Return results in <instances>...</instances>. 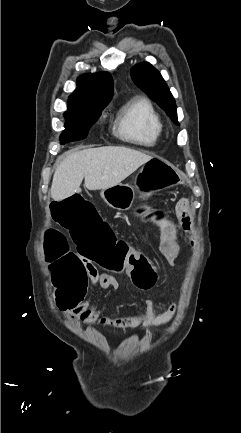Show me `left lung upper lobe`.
<instances>
[{
    "mask_svg": "<svg viewBox=\"0 0 241 433\" xmlns=\"http://www.w3.org/2000/svg\"><path fill=\"white\" fill-rule=\"evenodd\" d=\"M131 77L178 124L175 100L159 71L144 62L131 69Z\"/></svg>",
    "mask_w": 241,
    "mask_h": 433,
    "instance_id": "obj_1",
    "label": "left lung upper lobe"
}]
</instances>
